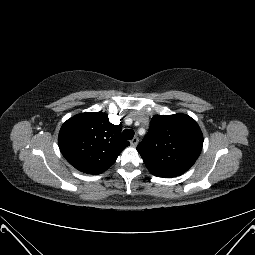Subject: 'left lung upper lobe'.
I'll use <instances>...</instances> for the list:
<instances>
[{
  "instance_id": "obj_1",
  "label": "left lung upper lobe",
  "mask_w": 255,
  "mask_h": 255,
  "mask_svg": "<svg viewBox=\"0 0 255 255\" xmlns=\"http://www.w3.org/2000/svg\"><path fill=\"white\" fill-rule=\"evenodd\" d=\"M203 145L200 127L186 114L157 115L137 146L148 170L158 177L182 175L195 163Z\"/></svg>"
}]
</instances>
